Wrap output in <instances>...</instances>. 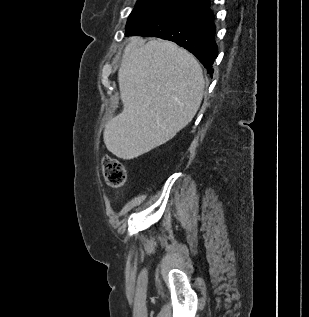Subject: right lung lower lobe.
Here are the masks:
<instances>
[{"label":"right lung lower lobe","instance_id":"1","mask_svg":"<svg viewBox=\"0 0 309 317\" xmlns=\"http://www.w3.org/2000/svg\"><path fill=\"white\" fill-rule=\"evenodd\" d=\"M209 0H178L137 20L125 33L176 42L193 53L212 74L218 55Z\"/></svg>","mask_w":309,"mask_h":317}]
</instances>
